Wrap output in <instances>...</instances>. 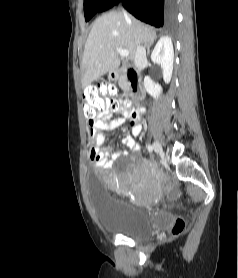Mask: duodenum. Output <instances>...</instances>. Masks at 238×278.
Returning <instances> with one entry per match:
<instances>
[{"label":"duodenum","instance_id":"duodenum-1","mask_svg":"<svg viewBox=\"0 0 238 278\" xmlns=\"http://www.w3.org/2000/svg\"><path fill=\"white\" fill-rule=\"evenodd\" d=\"M112 80H118L121 77H126L129 85V92L135 94L138 86V73L135 68L126 66L113 70L110 73Z\"/></svg>","mask_w":238,"mask_h":278}]
</instances>
